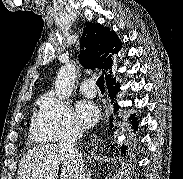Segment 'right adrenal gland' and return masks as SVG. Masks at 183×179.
I'll list each match as a JSON object with an SVG mask.
<instances>
[{
	"label": "right adrenal gland",
	"instance_id": "2a0ac1e0",
	"mask_svg": "<svg viewBox=\"0 0 183 179\" xmlns=\"http://www.w3.org/2000/svg\"><path fill=\"white\" fill-rule=\"evenodd\" d=\"M91 170L88 169L87 174H86V179H91Z\"/></svg>",
	"mask_w": 183,
	"mask_h": 179
}]
</instances>
